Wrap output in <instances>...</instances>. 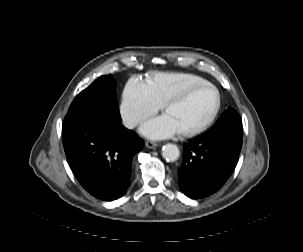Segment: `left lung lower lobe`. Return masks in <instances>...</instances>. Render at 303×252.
<instances>
[{
	"instance_id": "left-lung-lower-lobe-1",
	"label": "left lung lower lobe",
	"mask_w": 303,
	"mask_h": 252,
	"mask_svg": "<svg viewBox=\"0 0 303 252\" xmlns=\"http://www.w3.org/2000/svg\"><path fill=\"white\" fill-rule=\"evenodd\" d=\"M242 146V137L201 135L184 144L178 170L182 191L192 199L216 192L232 173Z\"/></svg>"
}]
</instances>
